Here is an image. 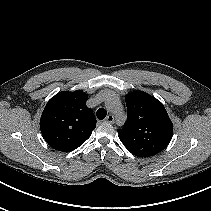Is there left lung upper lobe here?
I'll return each mask as SVG.
<instances>
[{"instance_id": "1", "label": "left lung upper lobe", "mask_w": 211, "mask_h": 211, "mask_svg": "<svg viewBox=\"0 0 211 211\" xmlns=\"http://www.w3.org/2000/svg\"><path fill=\"white\" fill-rule=\"evenodd\" d=\"M127 121L117 130L119 139L135 156L150 157L169 144L173 124L163 104L155 97L134 91L126 96Z\"/></svg>"}]
</instances>
